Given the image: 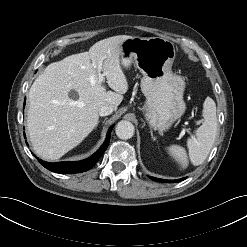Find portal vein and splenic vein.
I'll list each match as a JSON object with an SVG mask.
<instances>
[{
    "label": "portal vein and splenic vein",
    "mask_w": 247,
    "mask_h": 247,
    "mask_svg": "<svg viewBox=\"0 0 247 247\" xmlns=\"http://www.w3.org/2000/svg\"><path fill=\"white\" fill-rule=\"evenodd\" d=\"M98 79H99V82H103L104 81V75L101 74V68L99 67L98 68Z\"/></svg>",
    "instance_id": "portal-vein-and-splenic-vein-1"
}]
</instances>
